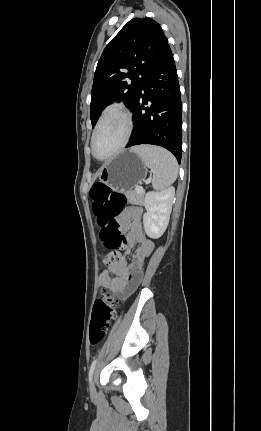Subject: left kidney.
I'll return each instance as SVG.
<instances>
[{"mask_svg": "<svg viewBox=\"0 0 261 431\" xmlns=\"http://www.w3.org/2000/svg\"><path fill=\"white\" fill-rule=\"evenodd\" d=\"M174 189L169 188L161 192H148L145 196L144 206L146 213L143 216V225L146 234L157 239L165 232L172 210Z\"/></svg>", "mask_w": 261, "mask_h": 431, "instance_id": "1", "label": "left kidney"}]
</instances>
